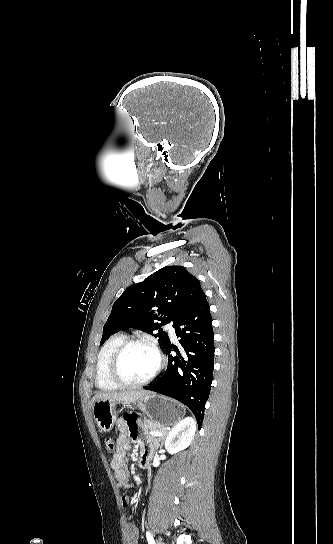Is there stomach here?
I'll return each mask as SVG.
<instances>
[{"label": "stomach", "instance_id": "stomach-1", "mask_svg": "<svg viewBox=\"0 0 333 544\" xmlns=\"http://www.w3.org/2000/svg\"><path fill=\"white\" fill-rule=\"evenodd\" d=\"M140 410L162 426H172L185 415L184 406L178 402L154 393L147 394L136 401ZM94 420L101 431L109 432L117 421L116 402L98 400L92 405Z\"/></svg>", "mask_w": 333, "mask_h": 544}]
</instances>
